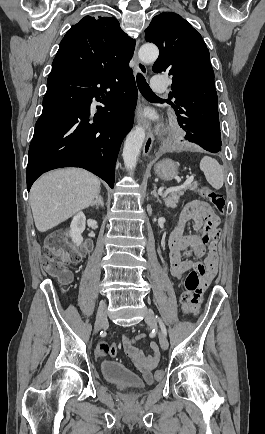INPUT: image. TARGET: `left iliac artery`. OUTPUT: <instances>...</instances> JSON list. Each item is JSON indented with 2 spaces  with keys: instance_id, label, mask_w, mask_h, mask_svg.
I'll return each mask as SVG.
<instances>
[{
  "instance_id": "44dca946",
  "label": "left iliac artery",
  "mask_w": 265,
  "mask_h": 434,
  "mask_svg": "<svg viewBox=\"0 0 265 434\" xmlns=\"http://www.w3.org/2000/svg\"><path fill=\"white\" fill-rule=\"evenodd\" d=\"M156 318H157V316H156ZM158 320H159V324H160V327H161L163 334L166 335L167 331H166V327H165L164 323L161 321V319L158 318Z\"/></svg>"
}]
</instances>
